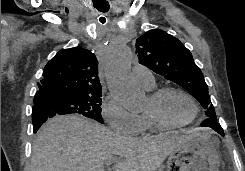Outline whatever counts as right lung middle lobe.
Segmentation results:
<instances>
[{"label":"right lung middle lobe","mask_w":245,"mask_h":171,"mask_svg":"<svg viewBox=\"0 0 245 171\" xmlns=\"http://www.w3.org/2000/svg\"><path fill=\"white\" fill-rule=\"evenodd\" d=\"M101 96V93L76 96H49L42 101V104L48 106L56 114L77 113L103 123L100 107Z\"/></svg>","instance_id":"right-lung-middle-lobe-1"}]
</instances>
